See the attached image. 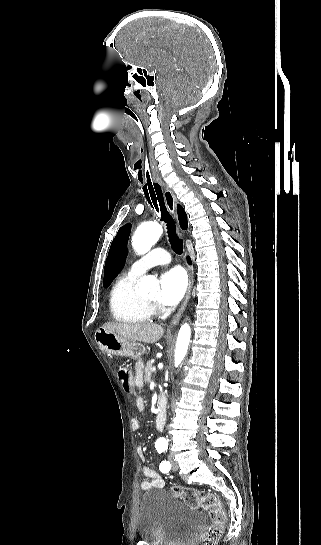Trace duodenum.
Masks as SVG:
<instances>
[{
	"label": "duodenum",
	"mask_w": 321,
	"mask_h": 545,
	"mask_svg": "<svg viewBox=\"0 0 321 545\" xmlns=\"http://www.w3.org/2000/svg\"><path fill=\"white\" fill-rule=\"evenodd\" d=\"M158 411L155 419L156 428L162 430L166 420V405L167 400L163 394H160L157 399Z\"/></svg>",
	"instance_id": "duodenum-1"
}]
</instances>
